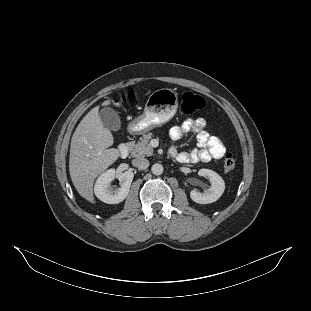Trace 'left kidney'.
<instances>
[{
    "label": "left kidney",
    "mask_w": 311,
    "mask_h": 311,
    "mask_svg": "<svg viewBox=\"0 0 311 311\" xmlns=\"http://www.w3.org/2000/svg\"><path fill=\"white\" fill-rule=\"evenodd\" d=\"M198 175L208 178L211 186L204 193L192 190L190 192L191 199L199 204H208L217 201L225 190L224 180L216 172L205 168L200 169Z\"/></svg>",
    "instance_id": "obj_1"
}]
</instances>
